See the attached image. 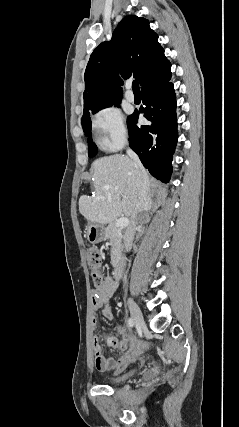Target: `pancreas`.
Listing matches in <instances>:
<instances>
[{
  "label": "pancreas",
  "mask_w": 239,
  "mask_h": 427,
  "mask_svg": "<svg viewBox=\"0 0 239 427\" xmlns=\"http://www.w3.org/2000/svg\"><path fill=\"white\" fill-rule=\"evenodd\" d=\"M122 233V228L116 227L115 223H110L106 228V238L110 239L112 265L117 263L121 254L123 237Z\"/></svg>",
  "instance_id": "obj_1"
}]
</instances>
